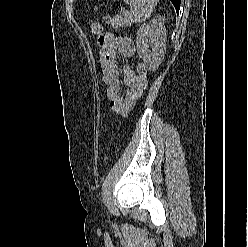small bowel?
Instances as JSON below:
<instances>
[{
  "label": "small bowel",
  "mask_w": 248,
  "mask_h": 247,
  "mask_svg": "<svg viewBox=\"0 0 248 247\" xmlns=\"http://www.w3.org/2000/svg\"><path fill=\"white\" fill-rule=\"evenodd\" d=\"M100 48V63L102 68V81L106 85L108 107L111 111L127 114L143 93L139 87L138 76L130 66L121 69L117 63V53L130 58L135 54V45L128 37H115L105 33L98 37ZM121 79L126 85L124 92L120 86Z\"/></svg>",
  "instance_id": "small-bowel-1"
}]
</instances>
